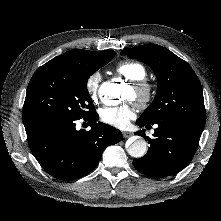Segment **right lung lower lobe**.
<instances>
[{
  "instance_id": "1",
  "label": "right lung lower lobe",
  "mask_w": 221,
  "mask_h": 221,
  "mask_svg": "<svg viewBox=\"0 0 221 221\" xmlns=\"http://www.w3.org/2000/svg\"><path fill=\"white\" fill-rule=\"evenodd\" d=\"M91 130H76L75 119L35 118L23 120L29 147L42 168L65 181L91 172L103 151L122 139L120 130L101 123L98 114L84 118Z\"/></svg>"
}]
</instances>
